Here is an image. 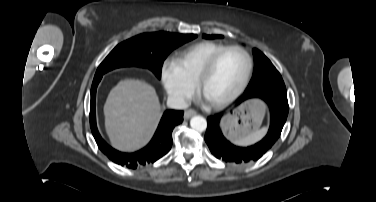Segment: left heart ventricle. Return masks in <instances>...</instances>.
<instances>
[{
  "label": "left heart ventricle",
  "mask_w": 376,
  "mask_h": 202,
  "mask_svg": "<svg viewBox=\"0 0 376 202\" xmlns=\"http://www.w3.org/2000/svg\"><path fill=\"white\" fill-rule=\"evenodd\" d=\"M246 65L242 53L233 50L224 54L205 83L206 99L215 102L234 92L244 77Z\"/></svg>",
  "instance_id": "left-heart-ventricle-1"
}]
</instances>
